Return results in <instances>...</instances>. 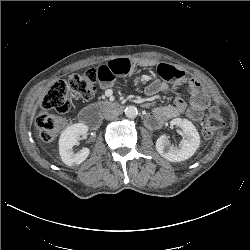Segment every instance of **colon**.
Here are the masks:
<instances>
[{
    "label": "colon",
    "mask_w": 250,
    "mask_h": 250,
    "mask_svg": "<svg viewBox=\"0 0 250 250\" xmlns=\"http://www.w3.org/2000/svg\"><path fill=\"white\" fill-rule=\"evenodd\" d=\"M98 72L89 69L83 73L75 74L67 79L55 82L41 102V111L36 117L35 123L40 137L45 142L54 140L64 128L66 121L62 116L51 114V111L66 113L71 107L72 98L79 96L91 99L96 93V81ZM224 126L223 117L219 109L212 106L209 115L202 123V135L211 138Z\"/></svg>",
    "instance_id": "obj_1"
}]
</instances>
